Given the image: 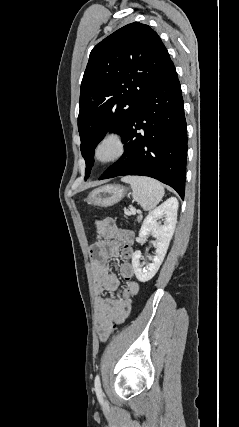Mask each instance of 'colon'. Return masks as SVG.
Wrapping results in <instances>:
<instances>
[{
    "label": "colon",
    "mask_w": 239,
    "mask_h": 427,
    "mask_svg": "<svg viewBox=\"0 0 239 427\" xmlns=\"http://www.w3.org/2000/svg\"><path fill=\"white\" fill-rule=\"evenodd\" d=\"M118 242H126V237H118ZM121 279L124 282L129 281L130 276L132 275V254L126 253L125 258L121 259ZM125 294L124 292L122 293Z\"/></svg>",
    "instance_id": "5ec220e1"
}]
</instances>
